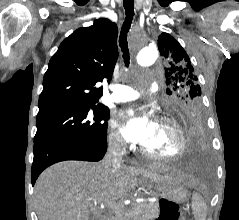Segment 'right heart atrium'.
Masks as SVG:
<instances>
[{
    "label": "right heart atrium",
    "instance_id": "right-heart-atrium-1",
    "mask_svg": "<svg viewBox=\"0 0 239 220\" xmlns=\"http://www.w3.org/2000/svg\"><path fill=\"white\" fill-rule=\"evenodd\" d=\"M108 142L111 148L116 152L121 153L124 152L126 149V144L117 129V122L115 120L112 121L110 124Z\"/></svg>",
    "mask_w": 239,
    "mask_h": 220
}]
</instances>
